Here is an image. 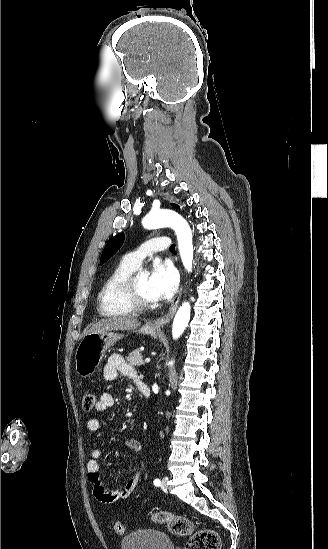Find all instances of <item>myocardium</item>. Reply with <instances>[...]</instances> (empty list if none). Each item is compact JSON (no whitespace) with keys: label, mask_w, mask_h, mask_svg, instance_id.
<instances>
[{"label":"myocardium","mask_w":328,"mask_h":549,"mask_svg":"<svg viewBox=\"0 0 328 549\" xmlns=\"http://www.w3.org/2000/svg\"><path fill=\"white\" fill-rule=\"evenodd\" d=\"M151 264L150 262L140 263L135 271L122 280L117 289V296L122 304L116 306L117 310L136 315L147 312L154 307L155 302L142 299L136 287L139 277L146 272V268Z\"/></svg>","instance_id":"1"}]
</instances>
